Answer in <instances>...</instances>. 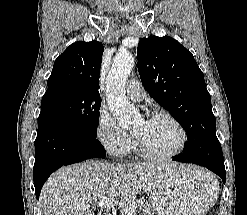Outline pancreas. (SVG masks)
<instances>
[{
	"label": "pancreas",
	"mask_w": 247,
	"mask_h": 215,
	"mask_svg": "<svg viewBox=\"0 0 247 215\" xmlns=\"http://www.w3.org/2000/svg\"><path fill=\"white\" fill-rule=\"evenodd\" d=\"M135 208V213L140 215H154V210L152 206L143 200H133L125 208L122 209V215H125V211H129L130 208Z\"/></svg>",
	"instance_id": "1"
}]
</instances>
